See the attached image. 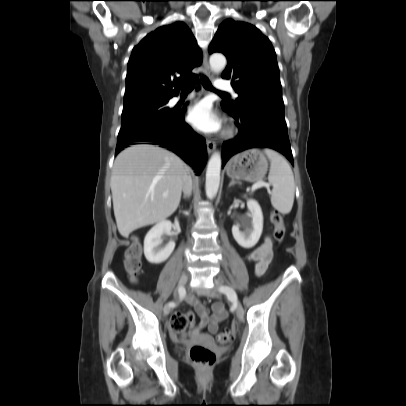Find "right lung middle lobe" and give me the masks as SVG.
I'll list each match as a JSON object with an SVG mask.
<instances>
[{"mask_svg": "<svg viewBox=\"0 0 406 406\" xmlns=\"http://www.w3.org/2000/svg\"><path fill=\"white\" fill-rule=\"evenodd\" d=\"M169 99H151L124 106L119 135L156 127L168 121L174 110L166 107Z\"/></svg>", "mask_w": 406, "mask_h": 406, "instance_id": "obj_1", "label": "right lung middle lobe"}]
</instances>
